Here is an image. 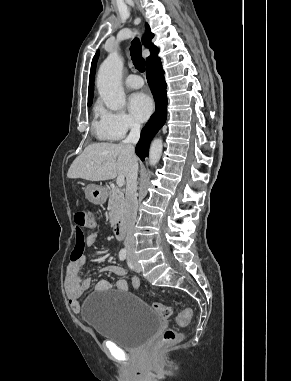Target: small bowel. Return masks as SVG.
<instances>
[{
  "label": "small bowel",
  "instance_id": "small-bowel-1",
  "mask_svg": "<svg viewBox=\"0 0 291 381\" xmlns=\"http://www.w3.org/2000/svg\"><path fill=\"white\" fill-rule=\"evenodd\" d=\"M96 241L97 235L91 234L86 238L85 243L87 246H93ZM81 245L82 240L77 237V245L71 254V260L67 266L64 284L69 306L75 313L79 312L81 309V304L79 302L80 296L87 288H89L91 284L89 279H82L79 276V268L86 261V258L82 255V252L79 253L81 251ZM107 270L119 277L124 276L126 273L125 269L119 265L108 266ZM131 286L134 290H137L140 287V280L137 276H133L131 278ZM110 289L124 292L128 290V284L123 279H119L114 282L100 280L95 286V290L97 292L107 291Z\"/></svg>",
  "mask_w": 291,
  "mask_h": 381
}]
</instances>
